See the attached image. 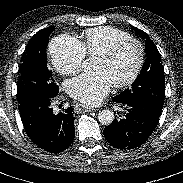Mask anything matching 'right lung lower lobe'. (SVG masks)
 Masks as SVG:
<instances>
[{"label": "right lung lower lobe", "mask_w": 183, "mask_h": 183, "mask_svg": "<svg viewBox=\"0 0 183 183\" xmlns=\"http://www.w3.org/2000/svg\"><path fill=\"white\" fill-rule=\"evenodd\" d=\"M56 96L34 95L19 104L26 134L36 146L50 153L64 151L75 138L73 109L68 107L54 114L51 102Z\"/></svg>", "instance_id": "1"}]
</instances>
